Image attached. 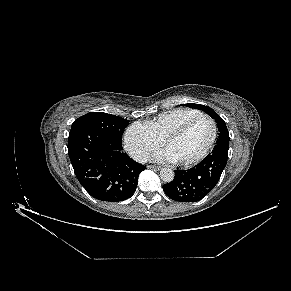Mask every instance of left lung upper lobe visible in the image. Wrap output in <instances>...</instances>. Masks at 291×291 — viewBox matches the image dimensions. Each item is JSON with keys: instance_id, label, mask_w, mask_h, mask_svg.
I'll list each match as a JSON object with an SVG mask.
<instances>
[{"instance_id": "1", "label": "left lung upper lobe", "mask_w": 291, "mask_h": 291, "mask_svg": "<svg viewBox=\"0 0 291 291\" xmlns=\"http://www.w3.org/2000/svg\"><path fill=\"white\" fill-rule=\"evenodd\" d=\"M186 106H189L191 108L200 109L202 111H205L207 114H209L217 122L218 130H219L218 140L225 139V140L229 141V133H228L226 124L223 121V119L213 109H211L208 106L201 105V104L188 103V104H186Z\"/></svg>"}]
</instances>
